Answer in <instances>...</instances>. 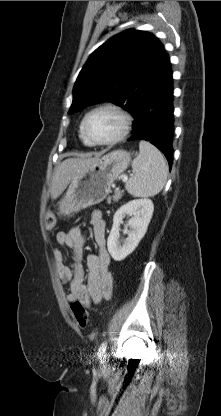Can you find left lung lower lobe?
Masks as SVG:
<instances>
[{
	"label": "left lung lower lobe",
	"instance_id": "1",
	"mask_svg": "<svg viewBox=\"0 0 221 416\" xmlns=\"http://www.w3.org/2000/svg\"><path fill=\"white\" fill-rule=\"evenodd\" d=\"M172 80L169 57L165 53L157 78L138 103L132 126L133 135L128 139L146 140L155 145L165 155L170 169L174 131Z\"/></svg>",
	"mask_w": 221,
	"mask_h": 416
}]
</instances>
